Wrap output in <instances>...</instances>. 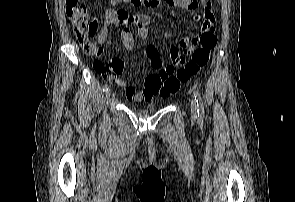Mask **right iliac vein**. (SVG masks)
Here are the masks:
<instances>
[{
	"label": "right iliac vein",
	"mask_w": 295,
	"mask_h": 202,
	"mask_svg": "<svg viewBox=\"0 0 295 202\" xmlns=\"http://www.w3.org/2000/svg\"><path fill=\"white\" fill-rule=\"evenodd\" d=\"M106 97L108 98L110 95H111V90L110 89H108L107 91H106Z\"/></svg>",
	"instance_id": "right-iliac-vein-1"
}]
</instances>
